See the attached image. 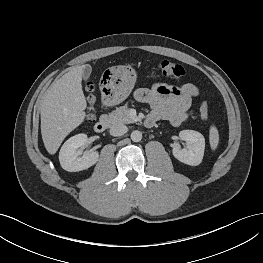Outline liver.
Returning a JSON list of instances; mask_svg holds the SVG:
<instances>
[{"label":"liver","mask_w":263,"mask_h":263,"mask_svg":"<svg viewBox=\"0 0 263 263\" xmlns=\"http://www.w3.org/2000/svg\"><path fill=\"white\" fill-rule=\"evenodd\" d=\"M84 66L71 67L43 96L41 135L49 154H55L65 137L85 119L87 103L81 85Z\"/></svg>","instance_id":"liver-1"}]
</instances>
